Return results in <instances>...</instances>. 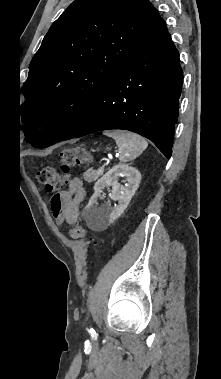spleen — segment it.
<instances>
[{"label":"spleen","mask_w":221,"mask_h":379,"mask_svg":"<svg viewBox=\"0 0 221 379\" xmlns=\"http://www.w3.org/2000/svg\"><path fill=\"white\" fill-rule=\"evenodd\" d=\"M104 134L116 141L120 152L119 160L122 163L136 159L148 146L143 137L132 132L118 130Z\"/></svg>","instance_id":"1"}]
</instances>
